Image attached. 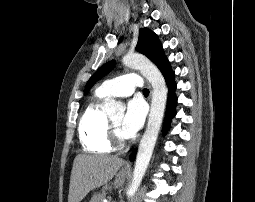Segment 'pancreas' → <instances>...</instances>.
Instances as JSON below:
<instances>
[{
  "instance_id": "obj_1",
  "label": "pancreas",
  "mask_w": 255,
  "mask_h": 202,
  "mask_svg": "<svg viewBox=\"0 0 255 202\" xmlns=\"http://www.w3.org/2000/svg\"><path fill=\"white\" fill-rule=\"evenodd\" d=\"M104 197H105V193L97 194L94 197H92L90 202H102ZM108 202H110V201H108Z\"/></svg>"
}]
</instances>
